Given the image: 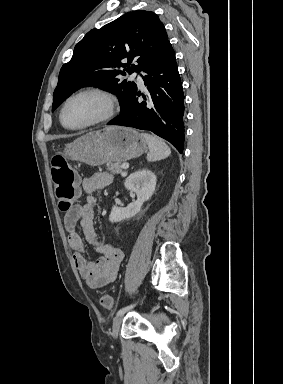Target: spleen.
I'll use <instances>...</instances> for the list:
<instances>
[{
  "mask_svg": "<svg viewBox=\"0 0 283 384\" xmlns=\"http://www.w3.org/2000/svg\"><path fill=\"white\" fill-rule=\"evenodd\" d=\"M141 136L147 142L150 150L149 154H147L148 162H157V160H164V158L170 156V148L164 144L161 138L150 136V134H141Z\"/></svg>",
  "mask_w": 283,
  "mask_h": 384,
  "instance_id": "spleen-1",
  "label": "spleen"
}]
</instances>
